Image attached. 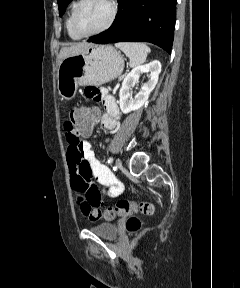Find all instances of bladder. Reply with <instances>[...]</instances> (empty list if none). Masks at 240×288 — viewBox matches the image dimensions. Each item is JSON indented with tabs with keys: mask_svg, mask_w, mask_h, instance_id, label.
I'll return each mask as SVG.
<instances>
[{
	"mask_svg": "<svg viewBox=\"0 0 240 288\" xmlns=\"http://www.w3.org/2000/svg\"><path fill=\"white\" fill-rule=\"evenodd\" d=\"M90 230L97 236L107 240H114L119 232L117 225L112 223H100L91 226Z\"/></svg>",
	"mask_w": 240,
	"mask_h": 288,
	"instance_id": "31cf9c89",
	"label": "bladder"
}]
</instances>
